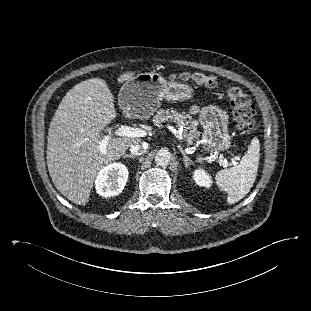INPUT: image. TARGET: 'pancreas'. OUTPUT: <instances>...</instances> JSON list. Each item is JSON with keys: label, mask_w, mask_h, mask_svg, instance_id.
<instances>
[{"label": "pancreas", "mask_w": 311, "mask_h": 311, "mask_svg": "<svg viewBox=\"0 0 311 311\" xmlns=\"http://www.w3.org/2000/svg\"><path fill=\"white\" fill-rule=\"evenodd\" d=\"M166 121H173L182 129L183 136L188 144H193L195 140L200 137V131L197 129V122L191 121V117L185 113H178L174 109L158 110L153 116V123L155 126H162Z\"/></svg>", "instance_id": "obj_1"}]
</instances>
